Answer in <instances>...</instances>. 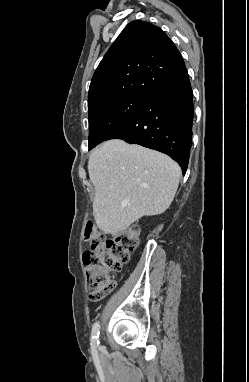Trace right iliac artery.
I'll return each mask as SVG.
<instances>
[{"mask_svg": "<svg viewBox=\"0 0 249 382\" xmlns=\"http://www.w3.org/2000/svg\"><path fill=\"white\" fill-rule=\"evenodd\" d=\"M100 325L99 322L94 323L92 327V337H91V345L93 348L98 347L99 345V333H100Z\"/></svg>", "mask_w": 249, "mask_h": 382, "instance_id": "obj_1", "label": "right iliac artery"}]
</instances>
